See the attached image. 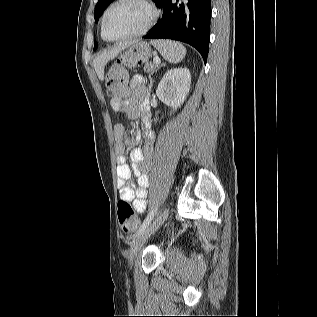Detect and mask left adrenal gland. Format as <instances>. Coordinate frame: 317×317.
<instances>
[{
  "label": "left adrenal gland",
  "instance_id": "left-adrenal-gland-1",
  "mask_svg": "<svg viewBox=\"0 0 317 317\" xmlns=\"http://www.w3.org/2000/svg\"><path fill=\"white\" fill-rule=\"evenodd\" d=\"M151 87H152V79H151L150 89H151Z\"/></svg>",
  "mask_w": 317,
  "mask_h": 317
}]
</instances>
